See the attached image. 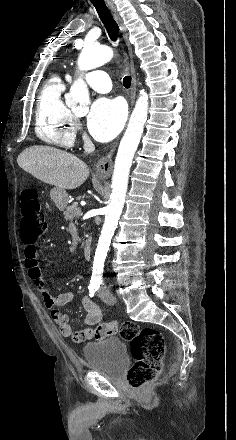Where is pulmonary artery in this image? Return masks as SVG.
<instances>
[{
    "label": "pulmonary artery",
    "instance_id": "obj_1",
    "mask_svg": "<svg viewBox=\"0 0 236 440\" xmlns=\"http://www.w3.org/2000/svg\"><path fill=\"white\" fill-rule=\"evenodd\" d=\"M86 82L91 89L98 93H107L111 90V80L105 71L93 70L86 76Z\"/></svg>",
    "mask_w": 236,
    "mask_h": 440
}]
</instances>
